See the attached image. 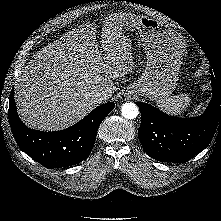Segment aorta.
Returning <instances> with one entry per match:
<instances>
[{
	"mask_svg": "<svg viewBox=\"0 0 221 221\" xmlns=\"http://www.w3.org/2000/svg\"><path fill=\"white\" fill-rule=\"evenodd\" d=\"M121 114L126 119H135L139 114L138 106L135 103L127 102L122 105Z\"/></svg>",
	"mask_w": 221,
	"mask_h": 221,
	"instance_id": "aorta-1",
	"label": "aorta"
}]
</instances>
